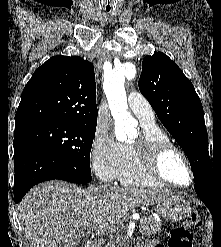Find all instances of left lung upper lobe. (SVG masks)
<instances>
[{
    "instance_id": "5c2ea615",
    "label": "left lung upper lobe",
    "mask_w": 221,
    "mask_h": 247,
    "mask_svg": "<svg viewBox=\"0 0 221 247\" xmlns=\"http://www.w3.org/2000/svg\"><path fill=\"white\" fill-rule=\"evenodd\" d=\"M139 90L187 155L195 183L215 177L201 101L191 81L162 52L142 62Z\"/></svg>"
}]
</instances>
